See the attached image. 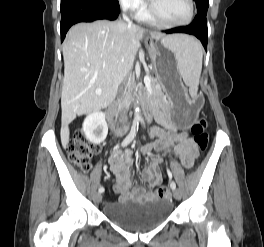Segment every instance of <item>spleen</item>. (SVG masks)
Segmentation results:
<instances>
[{
	"instance_id": "1",
	"label": "spleen",
	"mask_w": 264,
	"mask_h": 247,
	"mask_svg": "<svg viewBox=\"0 0 264 247\" xmlns=\"http://www.w3.org/2000/svg\"><path fill=\"white\" fill-rule=\"evenodd\" d=\"M170 50L175 55L177 68L184 83L189 86L191 96L195 97L202 70V46L193 37L178 35L170 41Z\"/></svg>"
}]
</instances>
